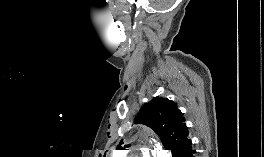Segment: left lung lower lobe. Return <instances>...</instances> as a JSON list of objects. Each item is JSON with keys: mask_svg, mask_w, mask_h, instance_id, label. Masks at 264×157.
<instances>
[{"mask_svg": "<svg viewBox=\"0 0 264 157\" xmlns=\"http://www.w3.org/2000/svg\"><path fill=\"white\" fill-rule=\"evenodd\" d=\"M172 157H196L195 150L192 149V143L190 139L181 143L172 153Z\"/></svg>", "mask_w": 264, "mask_h": 157, "instance_id": "obj_1", "label": "left lung lower lobe"}]
</instances>
